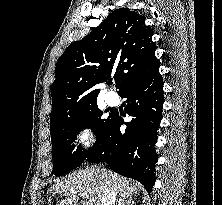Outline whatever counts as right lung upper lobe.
Segmentation results:
<instances>
[{"label":"right lung upper lobe","mask_w":222,"mask_h":205,"mask_svg":"<svg viewBox=\"0 0 222 205\" xmlns=\"http://www.w3.org/2000/svg\"><path fill=\"white\" fill-rule=\"evenodd\" d=\"M152 35L143 16L119 8L85 38L70 44L56 64L50 123L96 104L100 90L94 87L108 83L111 73L120 93L132 81L159 68Z\"/></svg>","instance_id":"obj_1"}]
</instances>
